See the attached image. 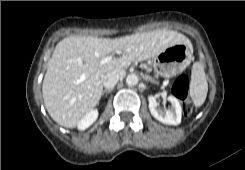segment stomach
Returning a JSON list of instances; mask_svg holds the SVG:
<instances>
[{
    "label": "stomach",
    "mask_w": 245,
    "mask_h": 170,
    "mask_svg": "<svg viewBox=\"0 0 245 170\" xmlns=\"http://www.w3.org/2000/svg\"><path fill=\"white\" fill-rule=\"evenodd\" d=\"M193 60L190 48L185 44H176L152 58L155 78H170L186 69Z\"/></svg>",
    "instance_id": "stomach-1"
}]
</instances>
